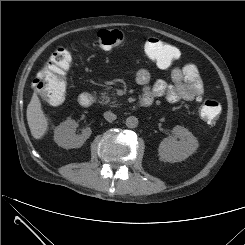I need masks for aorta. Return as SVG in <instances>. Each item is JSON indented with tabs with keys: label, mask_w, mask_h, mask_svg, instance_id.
<instances>
[{
	"label": "aorta",
	"mask_w": 245,
	"mask_h": 245,
	"mask_svg": "<svg viewBox=\"0 0 245 245\" xmlns=\"http://www.w3.org/2000/svg\"><path fill=\"white\" fill-rule=\"evenodd\" d=\"M126 126L128 128H136L138 126V118L135 117V116H129L127 119H126Z\"/></svg>",
	"instance_id": "762f6f07"
}]
</instances>
